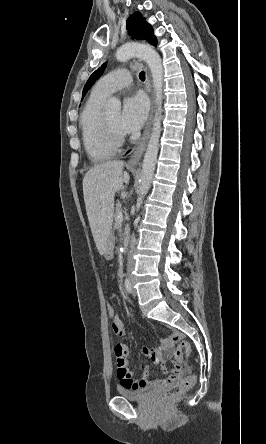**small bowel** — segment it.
<instances>
[{
    "label": "small bowel",
    "mask_w": 266,
    "mask_h": 444,
    "mask_svg": "<svg viewBox=\"0 0 266 444\" xmlns=\"http://www.w3.org/2000/svg\"><path fill=\"white\" fill-rule=\"evenodd\" d=\"M111 328L113 333L118 337H123L126 334L125 327L117 315L112 319ZM179 334L173 333L169 337L163 339L157 348H143V355L147 358L152 359L157 363H165L172 355V347L175 341L178 339ZM115 355L118 366V378L120 381V386L128 389H140L148 385H168L177 381L182 374V369L178 363H174L173 368L170 371V375L167 379L160 380H150L149 372L147 368L143 369L142 377L139 379L133 378V373L128 369L127 366V348L123 345L115 346Z\"/></svg>",
    "instance_id": "c3829d8e"
}]
</instances>
